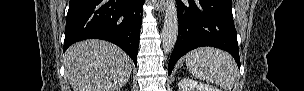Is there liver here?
<instances>
[{
    "mask_svg": "<svg viewBox=\"0 0 304 91\" xmlns=\"http://www.w3.org/2000/svg\"><path fill=\"white\" fill-rule=\"evenodd\" d=\"M64 63L73 91H119L132 71L129 56L103 40L73 44L65 52Z\"/></svg>",
    "mask_w": 304,
    "mask_h": 91,
    "instance_id": "obj_1",
    "label": "liver"
}]
</instances>
